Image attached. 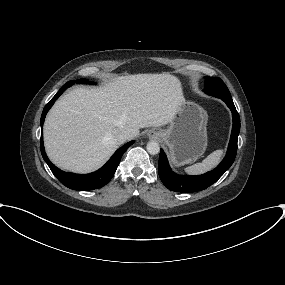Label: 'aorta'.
Returning a JSON list of instances; mask_svg holds the SVG:
<instances>
[{"mask_svg":"<svg viewBox=\"0 0 285 285\" xmlns=\"http://www.w3.org/2000/svg\"><path fill=\"white\" fill-rule=\"evenodd\" d=\"M146 148H147V152L151 155H156L160 151L159 144L156 141H149L147 143Z\"/></svg>","mask_w":285,"mask_h":285,"instance_id":"762f6f07","label":"aorta"}]
</instances>
